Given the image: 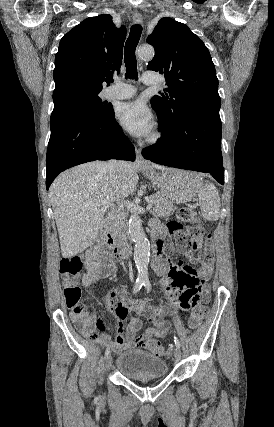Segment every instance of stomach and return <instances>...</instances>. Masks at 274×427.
<instances>
[{"label":"stomach","mask_w":274,"mask_h":427,"mask_svg":"<svg viewBox=\"0 0 274 427\" xmlns=\"http://www.w3.org/2000/svg\"><path fill=\"white\" fill-rule=\"evenodd\" d=\"M147 174L152 184L174 204H185L192 200L198 188L197 184L201 182L199 174L173 170V168L162 170V172L147 170Z\"/></svg>","instance_id":"1"}]
</instances>
